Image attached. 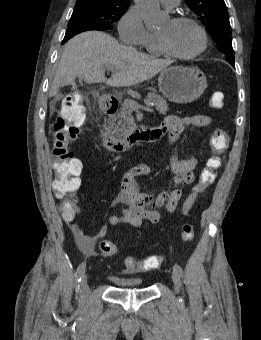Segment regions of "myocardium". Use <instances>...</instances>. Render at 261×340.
Returning <instances> with one entry per match:
<instances>
[{"instance_id": "obj_1", "label": "myocardium", "mask_w": 261, "mask_h": 340, "mask_svg": "<svg viewBox=\"0 0 261 340\" xmlns=\"http://www.w3.org/2000/svg\"><path fill=\"white\" fill-rule=\"evenodd\" d=\"M171 21L175 24L190 23L194 25L201 35L202 43L199 49H197L195 52L190 53V54H181V53L174 51L163 38L157 35L158 43L162 51L165 54L178 58V59H182V60H191V59H194L200 56L207 49L208 35H207L205 28L202 26V24L198 20H196L195 18L189 17V16H178V17H174Z\"/></svg>"}]
</instances>
